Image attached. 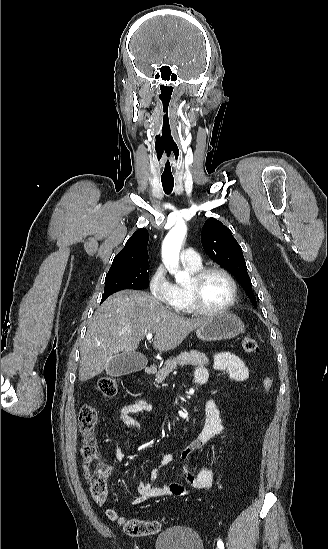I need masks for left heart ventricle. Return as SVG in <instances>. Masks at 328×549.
Here are the masks:
<instances>
[{
  "instance_id": "b2bd125f",
  "label": "left heart ventricle",
  "mask_w": 328,
  "mask_h": 549,
  "mask_svg": "<svg viewBox=\"0 0 328 549\" xmlns=\"http://www.w3.org/2000/svg\"><path fill=\"white\" fill-rule=\"evenodd\" d=\"M231 294L229 280L219 271L208 273L198 286V295L203 302L201 307L207 309L221 308L230 300Z\"/></svg>"
}]
</instances>
